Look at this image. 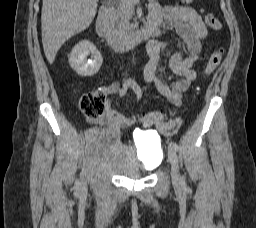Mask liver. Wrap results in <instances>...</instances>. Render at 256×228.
Here are the masks:
<instances>
[{"mask_svg":"<svg viewBox=\"0 0 256 228\" xmlns=\"http://www.w3.org/2000/svg\"><path fill=\"white\" fill-rule=\"evenodd\" d=\"M96 12V0H43L42 43L50 64L68 39L89 27Z\"/></svg>","mask_w":256,"mask_h":228,"instance_id":"liver-1","label":"liver"}]
</instances>
